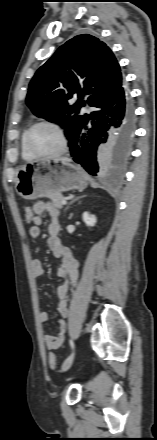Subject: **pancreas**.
<instances>
[{
    "mask_svg": "<svg viewBox=\"0 0 157 440\" xmlns=\"http://www.w3.org/2000/svg\"><path fill=\"white\" fill-rule=\"evenodd\" d=\"M47 197L52 201V205L55 208L61 209L63 207V204L61 203V201L64 198H63V196L61 194H53V195H49Z\"/></svg>",
    "mask_w": 157,
    "mask_h": 440,
    "instance_id": "obj_1",
    "label": "pancreas"
}]
</instances>
